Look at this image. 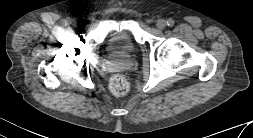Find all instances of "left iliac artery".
I'll use <instances>...</instances> for the list:
<instances>
[{"label":"left iliac artery","instance_id":"left-iliac-artery-1","mask_svg":"<svg viewBox=\"0 0 253 138\" xmlns=\"http://www.w3.org/2000/svg\"><path fill=\"white\" fill-rule=\"evenodd\" d=\"M167 25H168L169 27H172V26L174 25V20H173V19H168Z\"/></svg>","mask_w":253,"mask_h":138}]
</instances>
